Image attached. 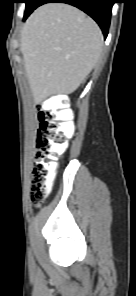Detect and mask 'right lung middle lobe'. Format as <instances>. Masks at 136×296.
<instances>
[{
    "mask_svg": "<svg viewBox=\"0 0 136 296\" xmlns=\"http://www.w3.org/2000/svg\"><path fill=\"white\" fill-rule=\"evenodd\" d=\"M37 0H24V3H26V9H25V14L24 17H27L35 8Z\"/></svg>",
    "mask_w": 136,
    "mask_h": 296,
    "instance_id": "dd1d6c3e",
    "label": "right lung middle lobe"
}]
</instances>
